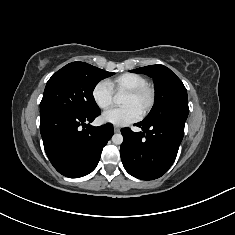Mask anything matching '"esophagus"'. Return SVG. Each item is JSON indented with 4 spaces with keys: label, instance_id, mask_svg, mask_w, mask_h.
I'll return each mask as SVG.
<instances>
[{
    "label": "esophagus",
    "instance_id": "obj_1",
    "mask_svg": "<svg viewBox=\"0 0 235 235\" xmlns=\"http://www.w3.org/2000/svg\"><path fill=\"white\" fill-rule=\"evenodd\" d=\"M114 132H115V133L120 132V127H118V126H114Z\"/></svg>",
    "mask_w": 235,
    "mask_h": 235
}]
</instances>
